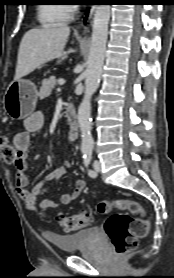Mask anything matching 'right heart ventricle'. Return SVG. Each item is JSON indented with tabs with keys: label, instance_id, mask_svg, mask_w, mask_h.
Masks as SVG:
<instances>
[{
	"label": "right heart ventricle",
	"instance_id": "1",
	"mask_svg": "<svg viewBox=\"0 0 174 278\" xmlns=\"http://www.w3.org/2000/svg\"><path fill=\"white\" fill-rule=\"evenodd\" d=\"M72 18L69 5L60 3L42 4L38 8V19L44 27L67 23Z\"/></svg>",
	"mask_w": 174,
	"mask_h": 278
}]
</instances>
